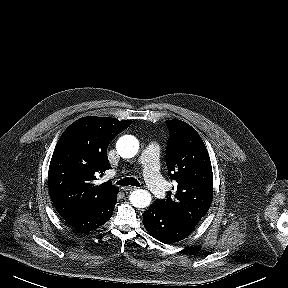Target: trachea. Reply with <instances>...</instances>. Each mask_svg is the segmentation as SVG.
I'll list each match as a JSON object with an SVG mask.
<instances>
[{
	"mask_svg": "<svg viewBox=\"0 0 288 288\" xmlns=\"http://www.w3.org/2000/svg\"><path fill=\"white\" fill-rule=\"evenodd\" d=\"M117 185H120V186H128V185H131V186H137L139 187L140 186V183L138 182L137 179L133 178V177H125L121 180H119L117 182Z\"/></svg>",
	"mask_w": 288,
	"mask_h": 288,
	"instance_id": "1",
	"label": "trachea"
}]
</instances>
